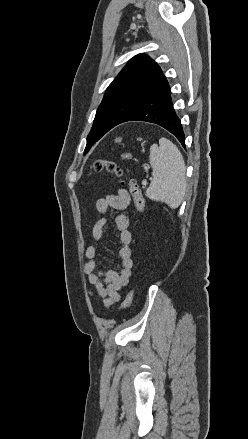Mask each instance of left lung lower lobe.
<instances>
[{"mask_svg":"<svg viewBox=\"0 0 248 439\" xmlns=\"http://www.w3.org/2000/svg\"><path fill=\"white\" fill-rule=\"evenodd\" d=\"M127 121L158 124L175 135L185 148L183 128L173 108L170 87L164 75L118 124Z\"/></svg>","mask_w":248,"mask_h":439,"instance_id":"obj_1","label":"left lung lower lobe"}]
</instances>
